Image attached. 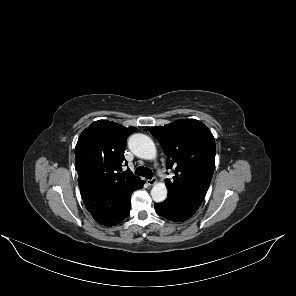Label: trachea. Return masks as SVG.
I'll return each instance as SVG.
<instances>
[{"label":"trachea","mask_w":296,"mask_h":296,"mask_svg":"<svg viewBox=\"0 0 296 296\" xmlns=\"http://www.w3.org/2000/svg\"><path fill=\"white\" fill-rule=\"evenodd\" d=\"M135 173L136 175L143 176L146 179H151L153 176L152 170L143 166L136 168Z\"/></svg>","instance_id":"3493384b"}]
</instances>
